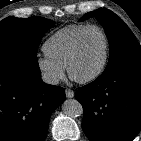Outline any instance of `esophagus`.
Instances as JSON below:
<instances>
[{
    "instance_id": "1",
    "label": "esophagus",
    "mask_w": 141,
    "mask_h": 141,
    "mask_svg": "<svg viewBox=\"0 0 141 141\" xmlns=\"http://www.w3.org/2000/svg\"><path fill=\"white\" fill-rule=\"evenodd\" d=\"M65 94H66V97H68V98H73L74 97V91L69 89V88H67L65 90Z\"/></svg>"
}]
</instances>
